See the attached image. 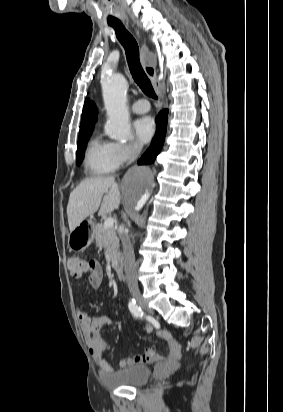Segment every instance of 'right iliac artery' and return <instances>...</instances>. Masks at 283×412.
Returning <instances> with one entry per match:
<instances>
[{
  "label": "right iliac artery",
  "instance_id": "right-iliac-artery-1",
  "mask_svg": "<svg viewBox=\"0 0 283 412\" xmlns=\"http://www.w3.org/2000/svg\"><path fill=\"white\" fill-rule=\"evenodd\" d=\"M129 310L135 318L143 317L144 312L142 309L136 304L135 299L130 300L128 304Z\"/></svg>",
  "mask_w": 283,
  "mask_h": 412
}]
</instances>
